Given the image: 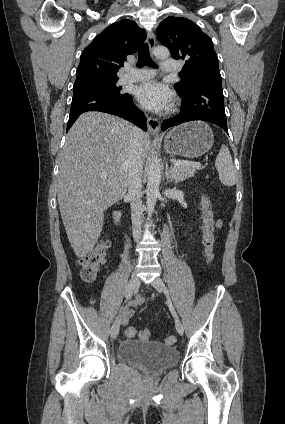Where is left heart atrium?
<instances>
[{
	"label": "left heart atrium",
	"instance_id": "1",
	"mask_svg": "<svg viewBox=\"0 0 285 424\" xmlns=\"http://www.w3.org/2000/svg\"><path fill=\"white\" fill-rule=\"evenodd\" d=\"M136 97L143 107L155 112L167 110L172 103L171 91L155 80L141 84L136 90Z\"/></svg>",
	"mask_w": 285,
	"mask_h": 424
}]
</instances>
